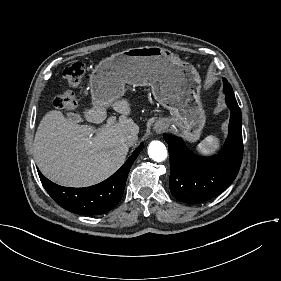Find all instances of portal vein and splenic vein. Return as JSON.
Listing matches in <instances>:
<instances>
[{
    "mask_svg": "<svg viewBox=\"0 0 281 281\" xmlns=\"http://www.w3.org/2000/svg\"><path fill=\"white\" fill-rule=\"evenodd\" d=\"M114 123H115V117H110V118H108V120H107L106 126H107V127H110V126H112Z\"/></svg>",
    "mask_w": 281,
    "mask_h": 281,
    "instance_id": "18ae733b",
    "label": "portal vein and splenic vein"
}]
</instances>
